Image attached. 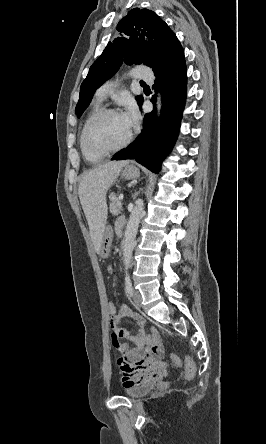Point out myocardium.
<instances>
[{
	"label": "myocardium",
	"mask_w": 266,
	"mask_h": 444,
	"mask_svg": "<svg viewBox=\"0 0 266 444\" xmlns=\"http://www.w3.org/2000/svg\"><path fill=\"white\" fill-rule=\"evenodd\" d=\"M110 114H120V112L114 108H105V109H101L99 110L87 123L84 132H83V144L85 149L95 155H102V156H107L113 153H116L124 148H126L132 141L133 139V131L130 130L129 135L127 136V138L123 141L122 144H120L117 147L111 148V149H106V150H97L95 149L89 142V134L91 132V129L93 128V126L104 116L106 115H110Z\"/></svg>",
	"instance_id": "myocardium-1"
}]
</instances>
